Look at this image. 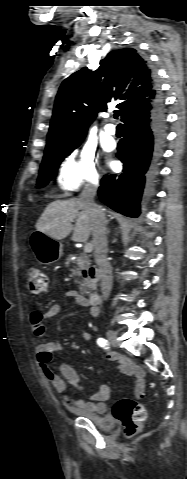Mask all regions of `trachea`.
<instances>
[{
    "label": "trachea",
    "mask_w": 187,
    "mask_h": 479,
    "mask_svg": "<svg viewBox=\"0 0 187 479\" xmlns=\"http://www.w3.org/2000/svg\"><path fill=\"white\" fill-rule=\"evenodd\" d=\"M119 114H120L119 111H115V112H114V117L117 119L118 116H119Z\"/></svg>",
    "instance_id": "trachea-1"
}]
</instances>
